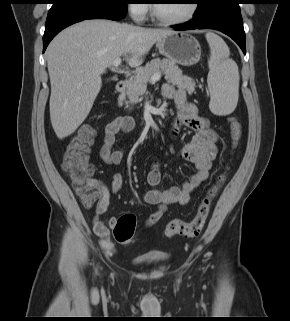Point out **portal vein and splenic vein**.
<instances>
[{
    "label": "portal vein and splenic vein",
    "mask_w": 290,
    "mask_h": 321,
    "mask_svg": "<svg viewBox=\"0 0 290 321\" xmlns=\"http://www.w3.org/2000/svg\"><path fill=\"white\" fill-rule=\"evenodd\" d=\"M120 64H121V58H116L113 61V67L116 69L119 67ZM160 78H161V72H157L151 77V79L149 81L153 83V82L160 80Z\"/></svg>",
    "instance_id": "18ae733b"
}]
</instances>
